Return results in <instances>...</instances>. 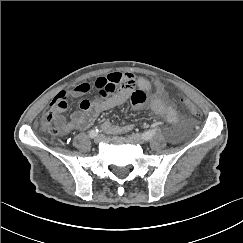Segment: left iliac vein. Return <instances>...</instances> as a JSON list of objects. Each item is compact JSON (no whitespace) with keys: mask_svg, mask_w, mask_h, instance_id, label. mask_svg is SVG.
<instances>
[{"mask_svg":"<svg viewBox=\"0 0 243 243\" xmlns=\"http://www.w3.org/2000/svg\"><path fill=\"white\" fill-rule=\"evenodd\" d=\"M130 138H131L133 141H135V142H137V143H140V144H143V143L145 142V139H144L141 135H139V134H137V133H133V134H131V135H130Z\"/></svg>","mask_w":243,"mask_h":243,"instance_id":"obj_1","label":"left iliac vein"}]
</instances>
